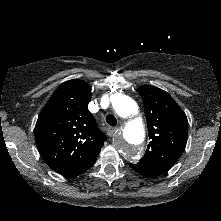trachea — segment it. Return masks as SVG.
<instances>
[{"label":"trachea","mask_w":221,"mask_h":221,"mask_svg":"<svg viewBox=\"0 0 221 221\" xmlns=\"http://www.w3.org/2000/svg\"><path fill=\"white\" fill-rule=\"evenodd\" d=\"M106 122L112 127L117 125V119L113 115H107Z\"/></svg>","instance_id":"trachea-1"}]
</instances>
